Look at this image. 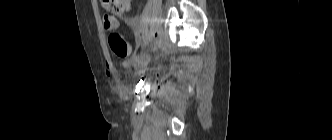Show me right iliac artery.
<instances>
[{"instance_id":"obj_1","label":"right iliac artery","mask_w":332,"mask_h":140,"mask_svg":"<svg viewBox=\"0 0 332 140\" xmlns=\"http://www.w3.org/2000/svg\"><path fill=\"white\" fill-rule=\"evenodd\" d=\"M138 58H139V55H134V56L130 59V62H131L132 64H134V63L137 61Z\"/></svg>"}]
</instances>
